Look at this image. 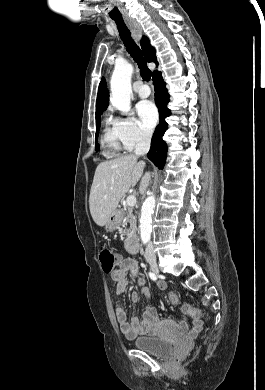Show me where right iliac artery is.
<instances>
[{
    "mask_svg": "<svg viewBox=\"0 0 265 390\" xmlns=\"http://www.w3.org/2000/svg\"><path fill=\"white\" fill-rule=\"evenodd\" d=\"M149 277L152 279V280H157V276L152 273V272H149Z\"/></svg>",
    "mask_w": 265,
    "mask_h": 390,
    "instance_id": "82829eb1",
    "label": "right iliac artery"
}]
</instances>
